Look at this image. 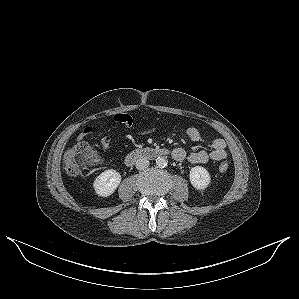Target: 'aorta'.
Here are the masks:
<instances>
[{
    "label": "aorta",
    "instance_id": "762f6f07",
    "mask_svg": "<svg viewBox=\"0 0 299 299\" xmlns=\"http://www.w3.org/2000/svg\"><path fill=\"white\" fill-rule=\"evenodd\" d=\"M156 165L159 167V168H163L167 165V159L165 157H157L156 159Z\"/></svg>",
    "mask_w": 299,
    "mask_h": 299
}]
</instances>
